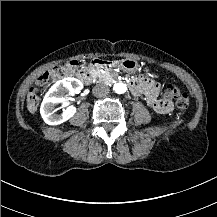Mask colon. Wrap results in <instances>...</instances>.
I'll list each match as a JSON object with an SVG mask.
<instances>
[{"label": "colon", "mask_w": 217, "mask_h": 217, "mask_svg": "<svg viewBox=\"0 0 217 217\" xmlns=\"http://www.w3.org/2000/svg\"><path fill=\"white\" fill-rule=\"evenodd\" d=\"M82 67V62L79 59H74L72 62H68L63 64V66H54L52 69H47L45 72H43L40 75V78H38L34 85L37 88H40L43 86L46 81H48L51 76L54 77H62L65 75H70L75 70H79ZM32 86L26 96V106L29 112L34 113L37 110L38 104H39V95H38V89ZM163 91L167 96H174L176 99V106L179 109H186L189 106V96L187 93L183 92L178 83L175 81H169L166 82L163 86Z\"/></svg>", "instance_id": "1"}]
</instances>
